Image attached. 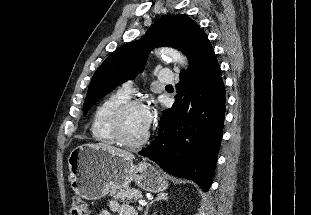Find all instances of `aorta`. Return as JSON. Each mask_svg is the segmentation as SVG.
Here are the masks:
<instances>
[{
    "label": "aorta",
    "instance_id": "762f6f07",
    "mask_svg": "<svg viewBox=\"0 0 311 215\" xmlns=\"http://www.w3.org/2000/svg\"><path fill=\"white\" fill-rule=\"evenodd\" d=\"M157 54L169 61H173L175 63H178L182 66L187 65V59L186 57L179 51L173 49V48H161L157 50Z\"/></svg>",
    "mask_w": 311,
    "mask_h": 215
}]
</instances>
